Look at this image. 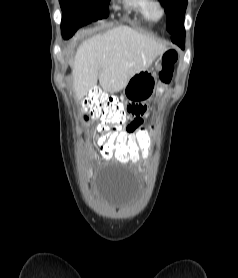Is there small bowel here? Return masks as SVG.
<instances>
[{
    "mask_svg": "<svg viewBox=\"0 0 238 278\" xmlns=\"http://www.w3.org/2000/svg\"><path fill=\"white\" fill-rule=\"evenodd\" d=\"M147 108L143 104H134L130 106V121L122 131H128V136L121 137H135L136 130H143V117L146 114ZM148 137V135H146ZM101 141V140H97Z\"/></svg>",
    "mask_w": 238,
    "mask_h": 278,
    "instance_id": "c3829d8e",
    "label": "small bowel"
}]
</instances>
